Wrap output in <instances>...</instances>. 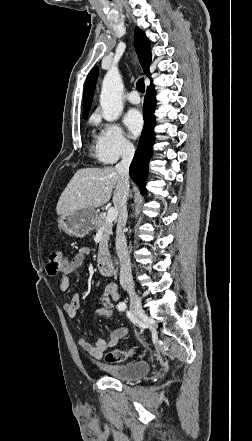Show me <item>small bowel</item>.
I'll use <instances>...</instances> for the list:
<instances>
[{"label": "small bowel", "instance_id": "c3829d8e", "mask_svg": "<svg viewBox=\"0 0 252 441\" xmlns=\"http://www.w3.org/2000/svg\"><path fill=\"white\" fill-rule=\"evenodd\" d=\"M87 254H89L88 248L79 250L68 263L67 267L62 271L58 285L60 292L68 290L70 285L69 275L81 266ZM119 297L120 295L117 285L114 282H109L102 294V305H108L114 308ZM63 308L70 318L75 319L80 308L79 293H75L69 301L65 302ZM128 332V328L120 327L113 330L106 338H99L95 342H91L89 339L82 337L79 339L78 344L90 356L96 359H101L105 352L108 349L115 347L128 334Z\"/></svg>", "mask_w": 252, "mask_h": 441}]
</instances>
